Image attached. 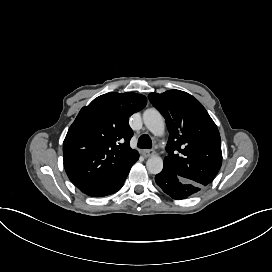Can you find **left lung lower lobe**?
Wrapping results in <instances>:
<instances>
[{"label": "left lung lower lobe", "instance_id": "left-lung-lower-lobe-1", "mask_svg": "<svg viewBox=\"0 0 272 272\" xmlns=\"http://www.w3.org/2000/svg\"><path fill=\"white\" fill-rule=\"evenodd\" d=\"M155 181L164 193L176 200L189 198L198 193L203 186L183 179L167 168L155 176Z\"/></svg>", "mask_w": 272, "mask_h": 272}]
</instances>
